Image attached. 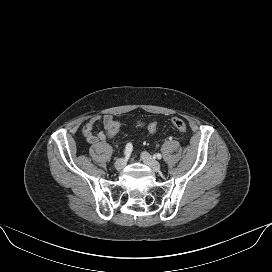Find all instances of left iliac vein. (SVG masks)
<instances>
[{"label": "left iliac vein", "mask_w": 272, "mask_h": 272, "mask_svg": "<svg viewBox=\"0 0 272 272\" xmlns=\"http://www.w3.org/2000/svg\"><path fill=\"white\" fill-rule=\"evenodd\" d=\"M141 159L153 171H155V172L160 171V169H161L160 163L157 160H155L149 153L142 152Z\"/></svg>", "instance_id": "1"}]
</instances>
